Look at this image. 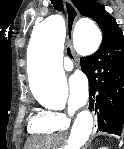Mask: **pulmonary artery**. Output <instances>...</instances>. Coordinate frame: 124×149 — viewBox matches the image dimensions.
<instances>
[{
	"mask_svg": "<svg viewBox=\"0 0 124 149\" xmlns=\"http://www.w3.org/2000/svg\"><path fill=\"white\" fill-rule=\"evenodd\" d=\"M64 68H65V70H72V68H73V64H72V61H71V59L70 58H68V57H66L65 59H64Z\"/></svg>",
	"mask_w": 124,
	"mask_h": 149,
	"instance_id": "e3ab8cb5",
	"label": "pulmonary artery"
}]
</instances>
